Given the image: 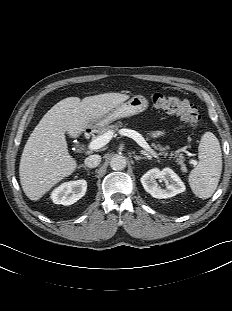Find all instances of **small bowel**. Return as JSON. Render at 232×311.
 <instances>
[{"mask_svg": "<svg viewBox=\"0 0 232 311\" xmlns=\"http://www.w3.org/2000/svg\"><path fill=\"white\" fill-rule=\"evenodd\" d=\"M162 135V132H153L152 133V136L153 137H159V136H161Z\"/></svg>", "mask_w": 232, "mask_h": 311, "instance_id": "small-bowel-1", "label": "small bowel"}]
</instances>
